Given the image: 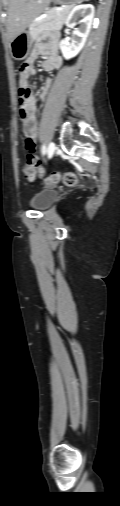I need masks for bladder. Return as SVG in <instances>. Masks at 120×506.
<instances>
[{
    "label": "bladder",
    "instance_id": "bladder-1",
    "mask_svg": "<svg viewBox=\"0 0 120 506\" xmlns=\"http://www.w3.org/2000/svg\"><path fill=\"white\" fill-rule=\"evenodd\" d=\"M58 198L55 189H42L35 193L29 200V205L37 210H45L50 207Z\"/></svg>",
    "mask_w": 120,
    "mask_h": 506
}]
</instances>
